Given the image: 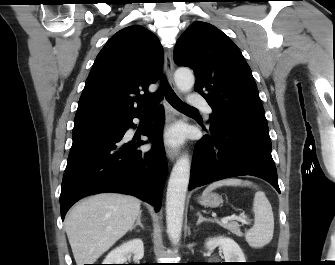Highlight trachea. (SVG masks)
<instances>
[{
	"mask_svg": "<svg viewBox=\"0 0 335 265\" xmlns=\"http://www.w3.org/2000/svg\"><path fill=\"white\" fill-rule=\"evenodd\" d=\"M165 95L169 103L179 111L195 110L193 107L187 105L175 94V92L163 81L162 86L157 90V98L161 99ZM153 105L145 108V112H152Z\"/></svg>",
	"mask_w": 335,
	"mask_h": 265,
	"instance_id": "trachea-1",
	"label": "trachea"
}]
</instances>
